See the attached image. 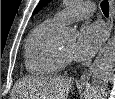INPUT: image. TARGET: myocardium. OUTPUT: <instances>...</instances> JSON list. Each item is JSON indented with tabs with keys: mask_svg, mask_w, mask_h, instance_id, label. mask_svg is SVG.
Here are the masks:
<instances>
[{
	"mask_svg": "<svg viewBox=\"0 0 115 99\" xmlns=\"http://www.w3.org/2000/svg\"><path fill=\"white\" fill-rule=\"evenodd\" d=\"M59 55L63 60L64 64H69L73 62V55L64 52L62 49L59 50Z\"/></svg>",
	"mask_w": 115,
	"mask_h": 99,
	"instance_id": "obj_1",
	"label": "myocardium"
}]
</instances>
